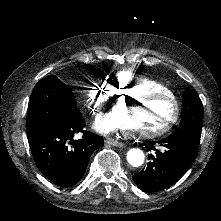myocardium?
<instances>
[{
  "mask_svg": "<svg viewBox=\"0 0 221 221\" xmlns=\"http://www.w3.org/2000/svg\"><path fill=\"white\" fill-rule=\"evenodd\" d=\"M156 100L164 101L167 104V109L169 111V116L166 120L163 121L161 124L156 123H148L144 126L142 129H138L135 131L136 137H142V138H156L158 137L159 133L164 132L168 130L174 124V122L178 118V106L176 103H174L173 98L165 95L161 92H153L148 91L144 94H140L138 96L133 97V99L130 101V106L134 105H145L148 102L152 103Z\"/></svg>",
  "mask_w": 221,
  "mask_h": 221,
  "instance_id": "f54148a6",
  "label": "myocardium"
}]
</instances>
